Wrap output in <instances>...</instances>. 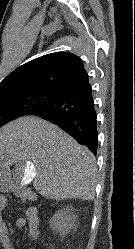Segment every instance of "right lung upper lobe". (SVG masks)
<instances>
[{"mask_svg":"<svg viewBox=\"0 0 135 249\" xmlns=\"http://www.w3.org/2000/svg\"><path fill=\"white\" fill-rule=\"evenodd\" d=\"M89 84L80 57L69 52L47 54L16 68L0 83V95L66 90Z\"/></svg>","mask_w":135,"mask_h":249,"instance_id":"obj_1","label":"right lung upper lobe"}]
</instances>
